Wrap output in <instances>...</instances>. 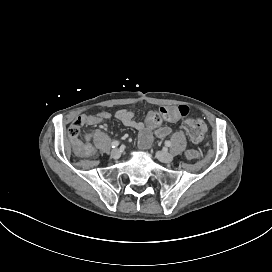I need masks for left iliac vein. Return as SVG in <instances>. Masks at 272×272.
I'll return each instance as SVG.
<instances>
[{"instance_id": "left-iliac-vein-1", "label": "left iliac vein", "mask_w": 272, "mask_h": 272, "mask_svg": "<svg viewBox=\"0 0 272 272\" xmlns=\"http://www.w3.org/2000/svg\"><path fill=\"white\" fill-rule=\"evenodd\" d=\"M157 158L164 163H171L174 159V156L166 151H158Z\"/></svg>"}]
</instances>
